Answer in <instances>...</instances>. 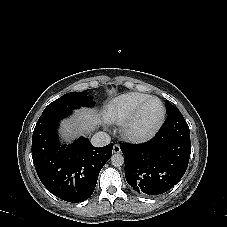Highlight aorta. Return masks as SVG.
<instances>
[{
  "instance_id": "aorta-1",
  "label": "aorta",
  "mask_w": 227,
  "mask_h": 227,
  "mask_svg": "<svg viewBox=\"0 0 227 227\" xmlns=\"http://www.w3.org/2000/svg\"><path fill=\"white\" fill-rule=\"evenodd\" d=\"M111 164L114 167H120L124 164V156L121 153H115L111 156Z\"/></svg>"
}]
</instances>
